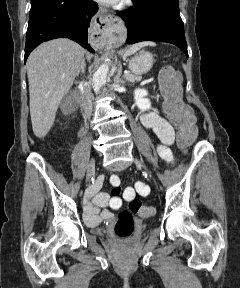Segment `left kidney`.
<instances>
[{
    "mask_svg": "<svg viewBox=\"0 0 240 288\" xmlns=\"http://www.w3.org/2000/svg\"><path fill=\"white\" fill-rule=\"evenodd\" d=\"M147 95L148 92L145 89L138 88L134 91L135 104L141 111H147L151 108L150 100L146 98Z\"/></svg>",
    "mask_w": 240,
    "mask_h": 288,
    "instance_id": "left-kidney-1",
    "label": "left kidney"
}]
</instances>
